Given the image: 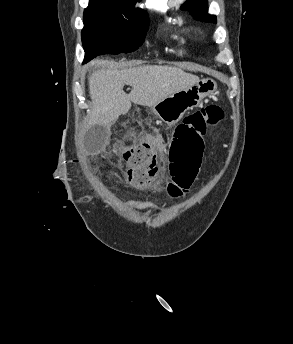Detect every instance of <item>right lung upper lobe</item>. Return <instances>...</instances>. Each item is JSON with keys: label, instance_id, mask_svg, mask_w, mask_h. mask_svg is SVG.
Masks as SVG:
<instances>
[{"label": "right lung upper lobe", "instance_id": "right-lung-upper-lobe-1", "mask_svg": "<svg viewBox=\"0 0 293 344\" xmlns=\"http://www.w3.org/2000/svg\"><path fill=\"white\" fill-rule=\"evenodd\" d=\"M140 0H90V3L101 4L108 7L114 8H126V9H133L137 13L141 15V17L148 19L147 14L145 12H141L140 9H135V3Z\"/></svg>", "mask_w": 293, "mask_h": 344}]
</instances>
